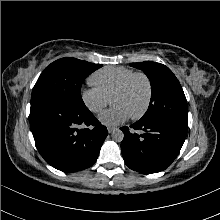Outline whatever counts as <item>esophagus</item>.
Instances as JSON below:
<instances>
[{
    "mask_svg": "<svg viewBox=\"0 0 220 220\" xmlns=\"http://www.w3.org/2000/svg\"><path fill=\"white\" fill-rule=\"evenodd\" d=\"M117 128H115V127H107V130H108V132L109 133H112L113 131H115Z\"/></svg>",
    "mask_w": 220,
    "mask_h": 220,
    "instance_id": "34e87169",
    "label": "esophagus"
}]
</instances>
